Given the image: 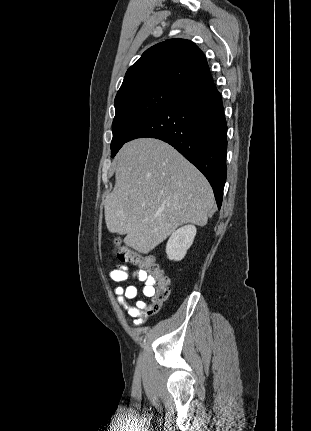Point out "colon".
Listing matches in <instances>:
<instances>
[{"instance_id":"1","label":"colon","mask_w":311,"mask_h":431,"mask_svg":"<svg viewBox=\"0 0 311 431\" xmlns=\"http://www.w3.org/2000/svg\"><path fill=\"white\" fill-rule=\"evenodd\" d=\"M115 255L120 261L137 264L148 273L153 289L148 313L153 314L159 311L169 296L170 288L169 278L157 264L155 258L152 255L137 254L131 249L121 246L119 242L116 243Z\"/></svg>"}]
</instances>
